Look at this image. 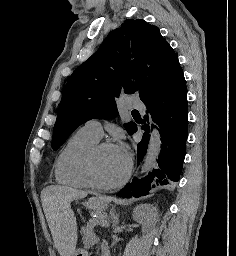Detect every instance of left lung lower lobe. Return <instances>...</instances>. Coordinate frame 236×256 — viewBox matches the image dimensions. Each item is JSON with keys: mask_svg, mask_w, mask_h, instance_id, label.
I'll use <instances>...</instances> for the list:
<instances>
[{"mask_svg": "<svg viewBox=\"0 0 236 256\" xmlns=\"http://www.w3.org/2000/svg\"><path fill=\"white\" fill-rule=\"evenodd\" d=\"M143 103L147 114L142 121L144 129L141 142L137 145L138 164L142 160L149 141V119L159 126L161 152L158 167L141 179H133L131 184L117 193V196L130 198L145 196L164 185L179 181L185 157L188 127L187 88L183 71L179 68L163 82ZM154 127V125H152ZM137 131V125L133 133ZM132 133V134H133Z\"/></svg>", "mask_w": 236, "mask_h": 256, "instance_id": "0a47b994", "label": "left lung lower lobe"}]
</instances>
